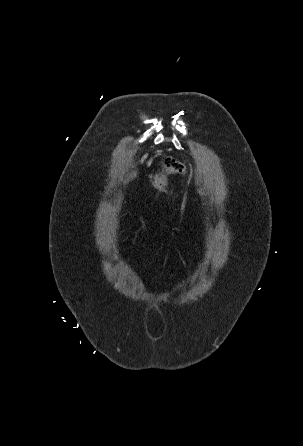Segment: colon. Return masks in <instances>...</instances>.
Returning <instances> with one entry per match:
<instances>
[{
  "instance_id": "colon-1",
  "label": "colon",
  "mask_w": 303,
  "mask_h": 446,
  "mask_svg": "<svg viewBox=\"0 0 303 446\" xmlns=\"http://www.w3.org/2000/svg\"><path fill=\"white\" fill-rule=\"evenodd\" d=\"M185 172L184 165L172 158L165 157L161 162V167L153 180V188L156 192H164L166 188L167 177L170 173L183 174Z\"/></svg>"
}]
</instances>
